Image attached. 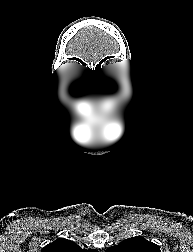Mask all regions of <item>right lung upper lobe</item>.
<instances>
[{
  "label": "right lung upper lobe",
  "instance_id": "obj_1",
  "mask_svg": "<svg viewBox=\"0 0 193 252\" xmlns=\"http://www.w3.org/2000/svg\"><path fill=\"white\" fill-rule=\"evenodd\" d=\"M41 252H98L97 250H83L76 243L60 238L45 246Z\"/></svg>",
  "mask_w": 193,
  "mask_h": 252
}]
</instances>
